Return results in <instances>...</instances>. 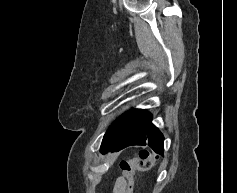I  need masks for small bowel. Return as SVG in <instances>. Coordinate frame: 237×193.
Returning a JSON list of instances; mask_svg holds the SVG:
<instances>
[{"mask_svg": "<svg viewBox=\"0 0 237 193\" xmlns=\"http://www.w3.org/2000/svg\"><path fill=\"white\" fill-rule=\"evenodd\" d=\"M113 193H126V181L123 177L117 178L113 187Z\"/></svg>", "mask_w": 237, "mask_h": 193, "instance_id": "1", "label": "small bowel"}]
</instances>
